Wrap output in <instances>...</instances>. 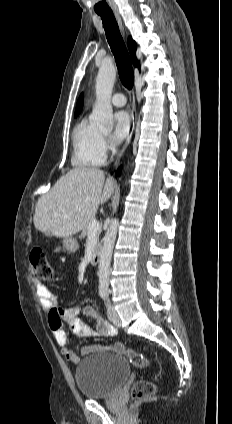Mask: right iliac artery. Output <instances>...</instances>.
Instances as JSON below:
<instances>
[{
  "label": "right iliac artery",
  "instance_id": "right-iliac-artery-1",
  "mask_svg": "<svg viewBox=\"0 0 232 424\" xmlns=\"http://www.w3.org/2000/svg\"><path fill=\"white\" fill-rule=\"evenodd\" d=\"M100 296H101L102 298H104L105 294H100Z\"/></svg>",
  "mask_w": 232,
  "mask_h": 424
}]
</instances>
